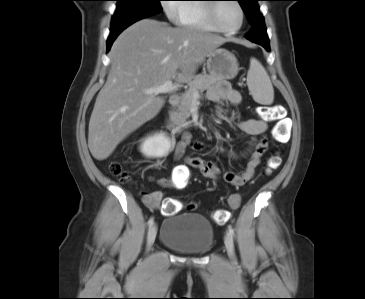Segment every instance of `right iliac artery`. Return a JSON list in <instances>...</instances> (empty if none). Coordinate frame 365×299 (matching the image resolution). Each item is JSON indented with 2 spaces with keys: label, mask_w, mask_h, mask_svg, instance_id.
<instances>
[{
  "label": "right iliac artery",
  "mask_w": 365,
  "mask_h": 299,
  "mask_svg": "<svg viewBox=\"0 0 365 299\" xmlns=\"http://www.w3.org/2000/svg\"><path fill=\"white\" fill-rule=\"evenodd\" d=\"M154 223V219L153 217H151L149 220H148V226L150 227L151 225H153Z\"/></svg>",
  "instance_id": "1"
}]
</instances>
